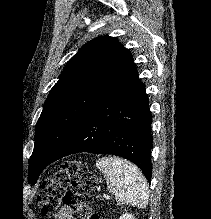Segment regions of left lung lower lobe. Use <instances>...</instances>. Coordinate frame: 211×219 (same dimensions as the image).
Here are the masks:
<instances>
[{
    "instance_id": "obj_1",
    "label": "left lung lower lobe",
    "mask_w": 211,
    "mask_h": 219,
    "mask_svg": "<svg viewBox=\"0 0 211 219\" xmlns=\"http://www.w3.org/2000/svg\"><path fill=\"white\" fill-rule=\"evenodd\" d=\"M151 123L148 96L133 64L86 112L59 153L50 157L38 149L32 158L44 169L71 154H112L136 164L150 182Z\"/></svg>"
}]
</instances>
